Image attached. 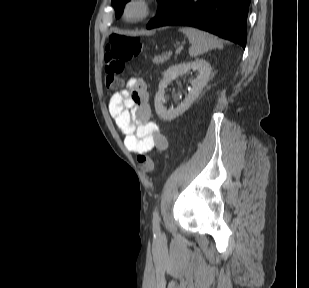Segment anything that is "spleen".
I'll return each mask as SVG.
<instances>
[{
	"label": "spleen",
	"mask_w": 309,
	"mask_h": 288,
	"mask_svg": "<svg viewBox=\"0 0 309 288\" xmlns=\"http://www.w3.org/2000/svg\"><path fill=\"white\" fill-rule=\"evenodd\" d=\"M180 31L188 37L191 43L189 48V55L191 57H197L210 49L222 47V42L217 37L205 31L192 27H183Z\"/></svg>",
	"instance_id": "obj_1"
}]
</instances>
